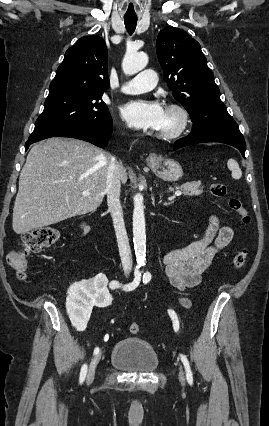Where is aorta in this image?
<instances>
[{"instance_id":"762f6f07","label":"aorta","mask_w":269,"mask_h":426,"mask_svg":"<svg viewBox=\"0 0 269 426\" xmlns=\"http://www.w3.org/2000/svg\"><path fill=\"white\" fill-rule=\"evenodd\" d=\"M148 57L144 53L127 52L122 68L125 74L133 75L146 67ZM133 243L135 255L138 263H144L146 253V233L143 196L136 194L134 197L133 211Z\"/></svg>"}]
</instances>
